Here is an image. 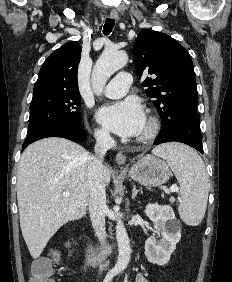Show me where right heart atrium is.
<instances>
[{
	"mask_svg": "<svg viewBox=\"0 0 232 282\" xmlns=\"http://www.w3.org/2000/svg\"><path fill=\"white\" fill-rule=\"evenodd\" d=\"M95 137L102 144H108L111 141L109 133L103 128L95 130Z\"/></svg>",
	"mask_w": 232,
	"mask_h": 282,
	"instance_id": "right-heart-atrium-1",
	"label": "right heart atrium"
}]
</instances>
